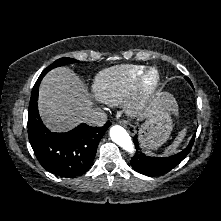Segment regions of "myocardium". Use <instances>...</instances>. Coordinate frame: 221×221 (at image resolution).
Here are the masks:
<instances>
[{
  "instance_id": "myocardium-1",
  "label": "myocardium",
  "mask_w": 221,
  "mask_h": 221,
  "mask_svg": "<svg viewBox=\"0 0 221 221\" xmlns=\"http://www.w3.org/2000/svg\"><path fill=\"white\" fill-rule=\"evenodd\" d=\"M161 85V75L156 68L143 70L135 81L127 108L130 116L142 115Z\"/></svg>"
}]
</instances>
